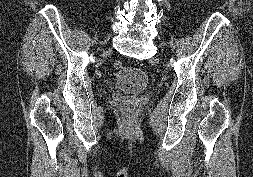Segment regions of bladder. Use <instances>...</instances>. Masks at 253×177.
Returning a JSON list of instances; mask_svg holds the SVG:
<instances>
[{
  "label": "bladder",
  "instance_id": "31cf9c89",
  "mask_svg": "<svg viewBox=\"0 0 253 177\" xmlns=\"http://www.w3.org/2000/svg\"><path fill=\"white\" fill-rule=\"evenodd\" d=\"M113 85L118 88L138 89L149 83L147 74L137 67L122 68L113 78Z\"/></svg>",
  "mask_w": 253,
  "mask_h": 177
}]
</instances>
